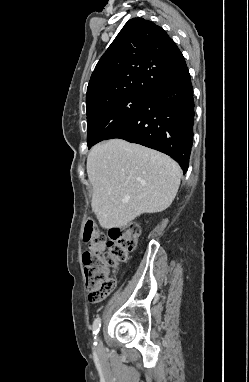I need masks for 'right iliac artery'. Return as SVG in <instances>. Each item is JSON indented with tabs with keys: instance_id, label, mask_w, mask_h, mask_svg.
Returning a JSON list of instances; mask_svg holds the SVG:
<instances>
[{
	"instance_id": "1",
	"label": "right iliac artery",
	"mask_w": 249,
	"mask_h": 382,
	"mask_svg": "<svg viewBox=\"0 0 249 382\" xmlns=\"http://www.w3.org/2000/svg\"><path fill=\"white\" fill-rule=\"evenodd\" d=\"M100 327H101V319L98 317L94 320V323H93V334L97 335V333L100 330ZM94 338H96V336ZM96 344L97 342H94V345Z\"/></svg>"
}]
</instances>
